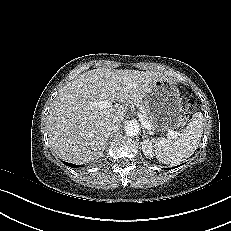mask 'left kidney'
Instances as JSON below:
<instances>
[{
  "label": "left kidney",
  "instance_id": "obj_1",
  "mask_svg": "<svg viewBox=\"0 0 231 231\" xmlns=\"http://www.w3.org/2000/svg\"><path fill=\"white\" fill-rule=\"evenodd\" d=\"M142 151L146 158L151 159L153 157V143L149 139L143 140Z\"/></svg>",
  "mask_w": 231,
  "mask_h": 231
}]
</instances>
